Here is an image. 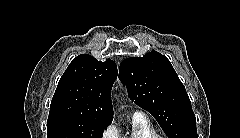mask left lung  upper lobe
Segmentation results:
<instances>
[{
    "mask_svg": "<svg viewBox=\"0 0 240 138\" xmlns=\"http://www.w3.org/2000/svg\"><path fill=\"white\" fill-rule=\"evenodd\" d=\"M120 79L130 99L150 112L169 138L198 137L190 99L167 57L151 51L125 59Z\"/></svg>",
    "mask_w": 240,
    "mask_h": 138,
    "instance_id": "left-lung-upper-lobe-1",
    "label": "left lung upper lobe"
}]
</instances>
